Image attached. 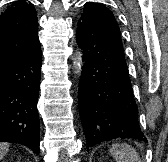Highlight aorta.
Here are the masks:
<instances>
[{
  "instance_id": "obj_1",
  "label": "aorta",
  "mask_w": 168,
  "mask_h": 162,
  "mask_svg": "<svg viewBox=\"0 0 168 162\" xmlns=\"http://www.w3.org/2000/svg\"><path fill=\"white\" fill-rule=\"evenodd\" d=\"M83 53L80 49H77L72 60H73V66L74 71L77 77L81 76L82 73V66H83Z\"/></svg>"
}]
</instances>
